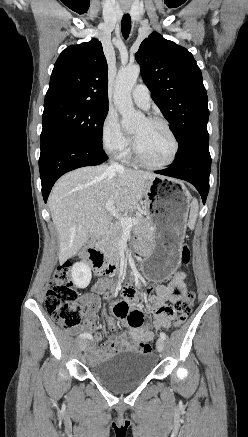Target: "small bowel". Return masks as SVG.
<instances>
[{
  "label": "small bowel",
  "instance_id": "small-bowel-1",
  "mask_svg": "<svg viewBox=\"0 0 248 437\" xmlns=\"http://www.w3.org/2000/svg\"><path fill=\"white\" fill-rule=\"evenodd\" d=\"M185 278L186 274L180 271L174 275L169 284L156 287L155 294L150 298L154 319L152 326L143 324L141 311L134 308L138 301L135 289L132 286L124 288V299L117 298L112 311L116 317L128 326L129 331L116 334V323L110 319L108 326L113 334L101 348H97L94 344L88 346L87 358L89 363L97 364L125 349H132L138 344L152 340L156 331L162 328L168 329L174 316V312L169 310L171 307L168 305V302L177 300L185 293ZM114 292L115 286L111 282L100 280L94 285L93 293L87 294L82 298V303L88 305L92 310V314H94V311L100 307V296L104 295L107 297L109 294H114ZM93 328L94 324L91 320L84 327L85 330H92ZM79 330L80 328L76 327L71 329L70 332L76 333ZM102 338L103 336L100 333L95 336L96 341H101Z\"/></svg>",
  "mask_w": 248,
  "mask_h": 437
}]
</instances>
